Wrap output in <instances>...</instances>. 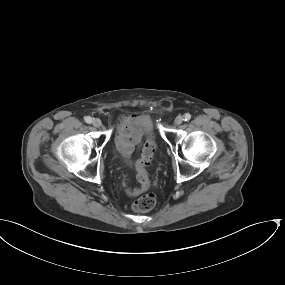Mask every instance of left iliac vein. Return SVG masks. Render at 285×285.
<instances>
[{
    "instance_id": "4c4485c4",
    "label": "left iliac vein",
    "mask_w": 285,
    "mask_h": 285,
    "mask_svg": "<svg viewBox=\"0 0 285 285\" xmlns=\"http://www.w3.org/2000/svg\"><path fill=\"white\" fill-rule=\"evenodd\" d=\"M182 122H183V117L180 115H178L174 120L175 125H180Z\"/></svg>"
}]
</instances>
